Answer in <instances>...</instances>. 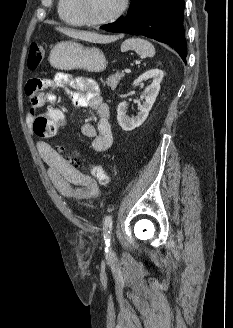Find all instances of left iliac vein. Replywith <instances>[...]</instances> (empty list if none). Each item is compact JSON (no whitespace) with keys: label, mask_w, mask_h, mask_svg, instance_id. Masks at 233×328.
<instances>
[{"label":"left iliac vein","mask_w":233,"mask_h":328,"mask_svg":"<svg viewBox=\"0 0 233 328\" xmlns=\"http://www.w3.org/2000/svg\"><path fill=\"white\" fill-rule=\"evenodd\" d=\"M109 249L111 250V246L109 245Z\"/></svg>","instance_id":"left-iliac-vein-1"}]
</instances>
